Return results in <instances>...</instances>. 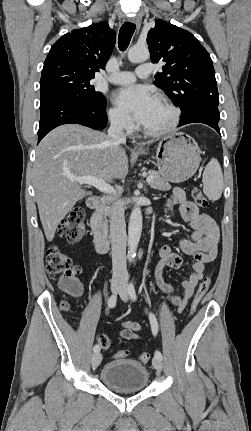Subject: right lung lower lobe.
I'll use <instances>...</instances> for the list:
<instances>
[{
    "label": "right lung lower lobe",
    "mask_w": 251,
    "mask_h": 431,
    "mask_svg": "<svg viewBox=\"0 0 251 431\" xmlns=\"http://www.w3.org/2000/svg\"><path fill=\"white\" fill-rule=\"evenodd\" d=\"M38 142L52 129L63 124L76 123L95 130L107 124L106 101L91 103L63 94L48 95L41 99Z\"/></svg>",
    "instance_id": "98d812e1"
}]
</instances>
